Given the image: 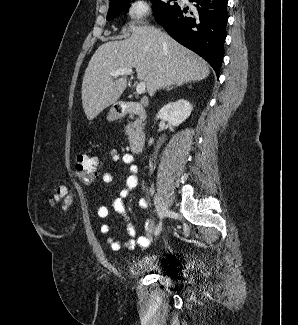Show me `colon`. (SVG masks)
<instances>
[{
	"label": "colon",
	"mask_w": 298,
	"mask_h": 325,
	"mask_svg": "<svg viewBox=\"0 0 298 325\" xmlns=\"http://www.w3.org/2000/svg\"><path fill=\"white\" fill-rule=\"evenodd\" d=\"M97 159L87 153H80L75 160L74 173L75 177L85 185L94 182L97 175ZM52 204H60L64 209L68 206L70 198L65 188H58L51 196Z\"/></svg>",
	"instance_id": "1"
}]
</instances>
